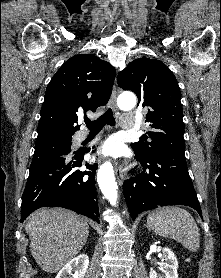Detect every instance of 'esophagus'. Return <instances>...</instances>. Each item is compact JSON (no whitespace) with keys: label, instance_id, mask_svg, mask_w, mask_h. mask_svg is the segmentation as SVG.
Instances as JSON below:
<instances>
[{"label":"esophagus","instance_id":"1","mask_svg":"<svg viewBox=\"0 0 221 278\" xmlns=\"http://www.w3.org/2000/svg\"><path fill=\"white\" fill-rule=\"evenodd\" d=\"M116 100H117V91H116V86L114 85L111 98H110V104L115 110L117 109ZM115 174L117 176L118 182L122 184L124 182V173L122 171L121 163H116Z\"/></svg>","mask_w":221,"mask_h":278}]
</instances>
